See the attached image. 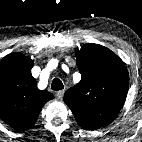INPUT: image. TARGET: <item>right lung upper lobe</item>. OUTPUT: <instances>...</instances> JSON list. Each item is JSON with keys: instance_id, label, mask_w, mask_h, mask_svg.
Listing matches in <instances>:
<instances>
[{"instance_id": "1", "label": "right lung upper lobe", "mask_w": 142, "mask_h": 142, "mask_svg": "<svg viewBox=\"0 0 142 142\" xmlns=\"http://www.w3.org/2000/svg\"><path fill=\"white\" fill-rule=\"evenodd\" d=\"M33 60L12 53L0 61V117L18 131L30 129L53 94L40 91L32 77Z\"/></svg>"}]
</instances>
